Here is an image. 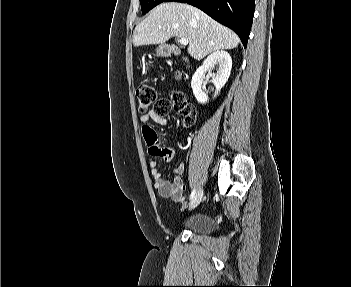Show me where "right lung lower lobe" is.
I'll return each instance as SVG.
<instances>
[{
    "mask_svg": "<svg viewBox=\"0 0 351 287\" xmlns=\"http://www.w3.org/2000/svg\"><path fill=\"white\" fill-rule=\"evenodd\" d=\"M193 5L231 28L246 48L254 15V0H165Z\"/></svg>",
    "mask_w": 351,
    "mask_h": 287,
    "instance_id": "obj_1",
    "label": "right lung lower lobe"
}]
</instances>
